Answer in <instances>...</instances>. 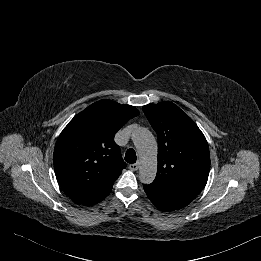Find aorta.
Here are the masks:
<instances>
[{"label":"aorta","instance_id":"obj_1","mask_svg":"<svg viewBox=\"0 0 261 261\" xmlns=\"http://www.w3.org/2000/svg\"><path fill=\"white\" fill-rule=\"evenodd\" d=\"M132 140L140 158L139 178L144 184L154 181L157 173V144L153 134L139 127L132 133Z\"/></svg>","mask_w":261,"mask_h":261}]
</instances>
